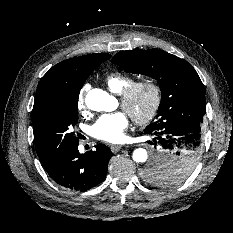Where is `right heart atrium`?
<instances>
[{
  "label": "right heart atrium",
  "instance_id": "right-heart-atrium-1",
  "mask_svg": "<svg viewBox=\"0 0 233 233\" xmlns=\"http://www.w3.org/2000/svg\"><path fill=\"white\" fill-rule=\"evenodd\" d=\"M88 89H89V85L84 84L78 92L76 106L80 112H84L86 109L85 98H86Z\"/></svg>",
  "mask_w": 233,
  "mask_h": 233
}]
</instances>
